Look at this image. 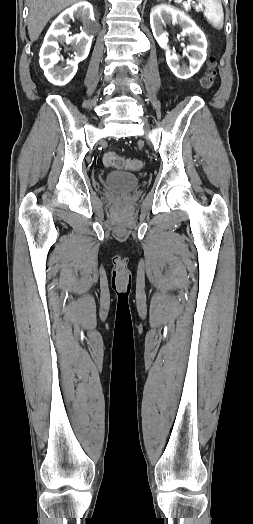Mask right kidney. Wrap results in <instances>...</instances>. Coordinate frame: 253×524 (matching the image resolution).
Returning <instances> with one entry per match:
<instances>
[{"instance_id":"1","label":"right kidney","mask_w":253,"mask_h":524,"mask_svg":"<svg viewBox=\"0 0 253 524\" xmlns=\"http://www.w3.org/2000/svg\"><path fill=\"white\" fill-rule=\"evenodd\" d=\"M82 19L83 30L80 34L69 36L67 24L70 19ZM93 6L80 2L62 12L50 26L40 49V66L46 78L54 85H66L76 74L78 63L89 54L94 27ZM66 42L74 50V59L67 60L66 67L57 65L60 57L57 54L59 43Z\"/></svg>"}]
</instances>
